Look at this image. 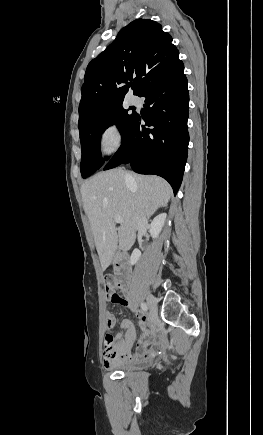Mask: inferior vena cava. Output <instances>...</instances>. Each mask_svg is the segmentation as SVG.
I'll return each instance as SVG.
<instances>
[{"mask_svg":"<svg viewBox=\"0 0 263 435\" xmlns=\"http://www.w3.org/2000/svg\"><path fill=\"white\" fill-rule=\"evenodd\" d=\"M125 179H126V181L128 182V181H130V180L132 179V177H131L129 174H126ZM145 222H146V217H145V215H144L143 213H140V214L137 216L136 229L140 228V226H141L142 224H144Z\"/></svg>","mask_w":263,"mask_h":435,"instance_id":"602c4592","label":"inferior vena cava"}]
</instances>
